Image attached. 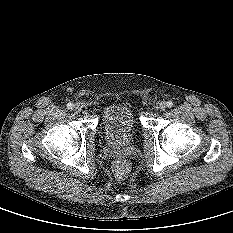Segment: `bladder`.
<instances>
[{
	"label": "bladder",
	"mask_w": 233,
	"mask_h": 233,
	"mask_svg": "<svg viewBox=\"0 0 233 233\" xmlns=\"http://www.w3.org/2000/svg\"><path fill=\"white\" fill-rule=\"evenodd\" d=\"M100 128L104 138L111 144L126 145L139 129L138 112L129 101L109 105L103 112Z\"/></svg>",
	"instance_id": "31cf9c89"
}]
</instances>
